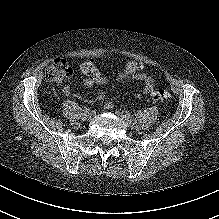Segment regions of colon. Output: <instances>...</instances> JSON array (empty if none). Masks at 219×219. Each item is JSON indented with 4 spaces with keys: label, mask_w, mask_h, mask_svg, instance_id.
Segmentation results:
<instances>
[{
    "label": "colon",
    "mask_w": 219,
    "mask_h": 219,
    "mask_svg": "<svg viewBox=\"0 0 219 219\" xmlns=\"http://www.w3.org/2000/svg\"><path fill=\"white\" fill-rule=\"evenodd\" d=\"M138 71L135 65L125 67V75L131 76ZM72 74V68L68 60L64 57L56 58L51 65L47 68L45 77L49 82H59L69 77ZM169 95L164 90L152 91L149 95L150 100L154 102H162L168 99Z\"/></svg>",
    "instance_id": "5ec220e1"
}]
</instances>
